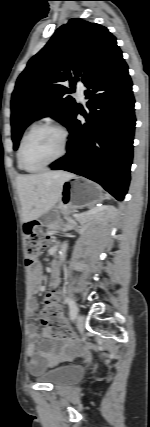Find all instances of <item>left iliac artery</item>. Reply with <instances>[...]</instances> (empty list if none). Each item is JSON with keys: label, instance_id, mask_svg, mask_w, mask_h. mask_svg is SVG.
<instances>
[{"label": "left iliac artery", "instance_id": "obj_1", "mask_svg": "<svg viewBox=\"0 0 150 427\" xmlns=\"http://www.w3.org/2000/svg\"><path fill=\"white\" fill-rule=\"evenodd\" d=\"M65 301L69 305L70 319L74 320L76 318V315H77V312H78L77 306H76L75 302L72 299L68 298V297L65 298Z\"/></svg>", "mask_w": 150, "mask_h": 427}]
</instances>
